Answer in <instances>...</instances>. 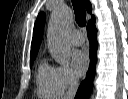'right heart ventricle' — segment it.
Returning <instances> with one entry per match:
<instances>
[{"mask_svg":"<svg viewBox=\"0 0 128 99\" xmlns=\"http://www.w3.org/2000/svg\"><path fill=\"white\" fill-rule=\"evenodd\" d=\"M36 85L40 98H58L63 93L56 79L55 68L49 66L46 62H42L39 65Z\"/></svg>","mask_w":128,"mask_h":99,"instance_id":"e07e8e85","label":"right heart ventricle"}]
</instances>
